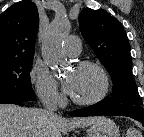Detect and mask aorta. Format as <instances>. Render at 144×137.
Returning a JSON list of instances; mask_svg holds the SVG:
<instances>
[{
    "instance_id": "aorta-1",
    "label": "aorta",
    "mask_w": 144,
    "mask_h": 137,
    "mask_svg": "<svg viewBox=\"0 0 144 137\" xmlns=\"http://www.w3.org/2000/svg\"><path fill=\"white\" fill-rule=\"evenodd\" d=\"M70 27V22L66 17L57 16L43 37L42 57L44 62L54 70L65 66L63 45Z\"/></svg>"
}]
</instances>
